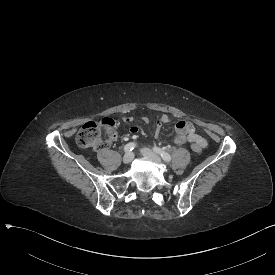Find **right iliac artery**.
<instances>
[{"instance_id":"82829eb1","label":"right iliac artery","mask_w":275,"mask_h":275,"mask_svg":"<svg viewBox=\"0 0 275 275\" xmlns=\"http://www.w3.org/2000/svg\"><path fill=\"white\" fill-rule=\"evenodd\" d=\"M136 147V143L130 142L124 146L125 152H131Z\"/></svg>"}]
</instances>
